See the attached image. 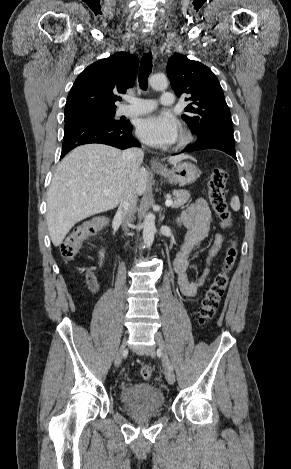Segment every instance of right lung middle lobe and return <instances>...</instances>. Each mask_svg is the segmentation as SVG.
<instances>
[{"mask_svg": "<svg viewBox=\"0 0 291 469\" xmlns=\"http://www.w3.org/2000/svg\"><path fill=\"white\" fill-rule=\"evenodd\" d=\"M116 109L111 110H90L85 111L77 114L65 115V122L76 119V118H97L102 119L110 122L116 121L114 119Z\"/></svg>", "mask_w": 291, "mask_h": 469, "instance_id": "obj_1", "label": "right lung middle lobe"}]
</instances>
